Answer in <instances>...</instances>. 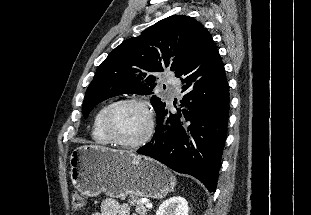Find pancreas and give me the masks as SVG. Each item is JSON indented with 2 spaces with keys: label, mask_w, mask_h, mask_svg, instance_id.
Returning a JSON list of instances; mask_svg holds the SVG:
<instances>
[{
  "label": "pancreas",
  "mask_w": 311,
  "mask_h": 215,
  "mask_svg": "<svg viewBox=\"0 0 311 215\" xmlns=\"http://www.w3.org/2000/svg\"><path fill=\"white\" fill-rule=\"evenodd\" d=\"M131 206H135V211L138 215H146L148 209L146 208V203H143L137 196L130 195L128 200Z\"/></svg>",
  "instance_id": "obj_1"
}]
</instances>
